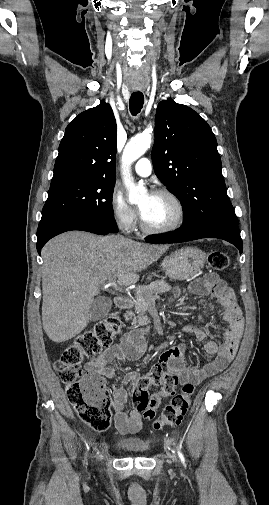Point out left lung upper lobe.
I'll return each mask as SVG.
<instances>
[{
	"label": "left lung upper lobe",
	"instance_id": "obj_1",
	"mask_svg": "<svg viewBox=\"0 0 269 505\" xmlns=\"http://www.w3.org/2000/svg\"><path fill=\"white\" fill-rule=\"evenodd\" d=\"M151 157L157 177L183 206L180 229L193 231L221 221L238 224L215 135L197 112L171 98L161 101Z\"/></svg>",
	"mask_w": 269,
	"mask_h": 505
}]
</instances>
